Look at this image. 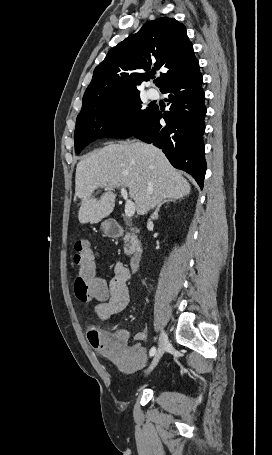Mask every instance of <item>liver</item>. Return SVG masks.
I'll return each instance as SVG.
<instances>
[{"label":"liver","instance_id":"obj_1","mask_svg":"<svg viewBox=\"0 0 272 455\" xmlns=\"http://www.w3.org/2000/svg\"><path fill=\"white\" fill-rule=\"evenodd\" d=\"M118 187L128 188L139 215L164 199H181L191 191L188 181L153 145L139 141L108 143L77 164L74 201L81 200L79 222L98 223L109 216L115 206L113 190ZM99 188L106 192L96 199L92 194Z\"/></svg>","mask_w":272,"mask_h":455}]
</instances>
